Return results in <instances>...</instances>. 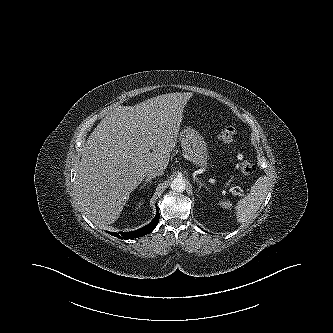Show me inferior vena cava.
Instances as JSON below:
<instances>
[{
	"label": "inferior vena cava",
	"instance_id": "obj_1",
	"mask_svg": "<svg viewBox=\"0 0 333 333\" xmlns=\"http://www.w3.org/2000/svg\"><path fill=\"white\" fill-rule=\"evenodd\" d=\"M164 170L157 167V166H154L152 168H150L147 172V177H150V176H157V175H161L163 174Z\"/></svg>",
	"mask_w": 333,
	"mask_h": 333
}]
</instances>
